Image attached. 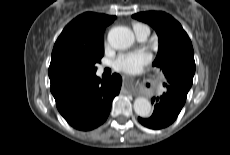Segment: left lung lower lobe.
<instances>
[{"instance_id": "left-lung-lower-lobe-1", "label": "left lung lower lobe", "mask_w": 230, "mask_h": 155, "mask_svg": "<svg viewBox=\"0 0 230 155\" xmlns=\"http://www.w3.org/2000/svg\"><path fill=\"white\" fill-rule=\"evenodd\" d=\"M163 86L167 91L160 97L152 98V104H155L152 116L147 119L138 118L142 125L151 129H161L172 124L184 106L190 90V86L175 79L167 80Z\"/></svg>"}]
</instances>
